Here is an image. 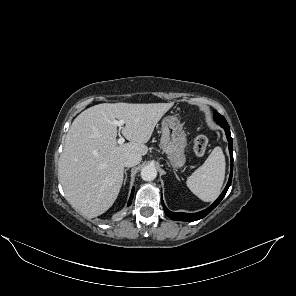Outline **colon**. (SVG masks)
I'll use <instances>...</instances> for the list:
<instances>
[{"label":"colon","mask_w":296,"mask_h":296,"mask_svg":"<svg viewBox=\"0 0 296 296\" xmlns=\"http://www.w3.org/2000/svg\"><path fill=\"white\" fill-rule=\"evenodd\" d=\"M208 140L205 136L199 135L194 140V152L198 156H202L207 149Z\"/></svg>","instance_id":"1"}]
</instances>
